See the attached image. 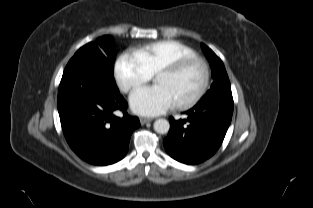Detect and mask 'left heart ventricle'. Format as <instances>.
Returning <instances> with one entry per match:
<instances>
[{
    "label": "left heart ventricle",
    "mask_w": 313,
    "mask_h": 208,
    "mask_svg": "<svg viewBox=\"0 0 313 208\" xmlns=\"http://www.w3.org/2000/svg\"><path fill=\"white\" fill-rule=\"evenodd\" d=\"M202 76L201 67L198 64H192L175 75H156L155 83L164 86L170 92L176 103L196 93L201 85Z\"/></svg>",
    "instance_id": "left-heart-ventricle-1"
}]
</instances>
